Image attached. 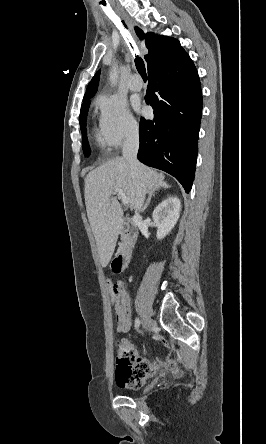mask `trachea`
Instances as JSON below:
<instances>
[{"mask_svg":"<svg viewBox=\"0 0 266 444\" xmlns=\"http://www.w3.org/2000/svg\"><path fill=\"white\" fill-rule=\"evenodd\" d=\"M103 4L105 5V3H103ZM135 65H136L137 71L139 72L141 77L143 79H147L145 64H144V61L142 60L141 57L136 56Z\"/></svg>","mask_w":266,"mask_h":444,"instance_id":"1","label":"trachea"}]
</instances>
